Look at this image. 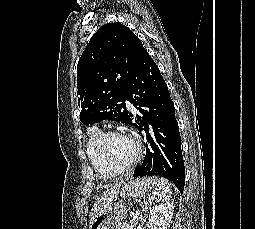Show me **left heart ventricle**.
I'll return each mask as SVG.
<instances>
[{
    "instance_id": "left-heart-ventricle-1",
    "label": "left heart ventricle",
    "mask_w": 255,
    "mask_h": 229,
    "mask_svg": "<svg viewBox=\"0 0 255 229\" xmlns=\"http://www.w3.org/2000/svg\"><path fill=\"white\" fill-rule=\"evenodd\" d=\"M106 157L114 164L122 165L130 162L136 154L134 141L127 136L109 138L104 146Z\"/></svg>"
}]
</instances>
